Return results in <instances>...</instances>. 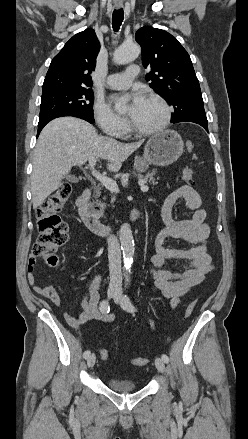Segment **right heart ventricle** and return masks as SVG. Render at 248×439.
Wrapping results in <instances>:
<instances>
[{
  "label": "right heart ventricle",
  "mask_w": 248,
  "mask_h": 439,
  "mask_svg": "<svg viewBox=\"0 0 248 439\" xmlns=\"http://www.w3.org/2000/svg\"><path fill=\"white\" fill-rule=\"evenodd\" d=\"M122 136L126 137L127 136V132H125Z\"/></svg>",
  "instance_id": "1"
}]
</instances>
